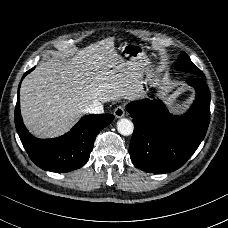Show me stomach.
<instances>
[{
	"mask_svg": "<svg viewBox=\"0 0 228 228\" xmlns=\"http://www.w3.org/2000/svg\"><path fill=\"white\" fill-rule=\"evenodd\" d=\"M120 49L123 51L125 56L129 60H132L133 63L137 64V66L145 65V62H146L145 53L143 51V48L139 46V44L126 43L122 45ZM149 76H150L149 81L153 86L158 87L159 85H161L160 80L157 78V75L155 73L150 72Z\"/></svg>",
	"mask_w": 228,
	"mask_h": 228,
	"instance_id": "stomach-1",
	"label": "stomach"
}]
</instances>
